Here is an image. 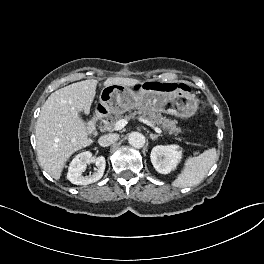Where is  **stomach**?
<instances>
[{"label":"stomach","mask_w":264,"mask_h":264,"mask_svg":"<svg viewBox=\"0 0 264 264\" xmlns=\"http://www.w3.org/2000/svg\"><path fill=\"white\" fill-rule=\"evenodd\" d=\"M198 105L199 101L194 94L178 88L167 92L155 90L147 85L134 91L127 86L115 84L105 86L101 90L95 112L98 116H107L138 109L189 118L196 113Z\"/></svg>","instance_id":"stomach-1"}]
</instances>
